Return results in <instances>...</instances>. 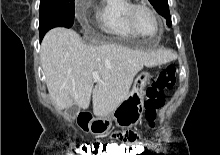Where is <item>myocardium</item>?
<instances>
[{
	"label": "myocardium",
	"mask_w": 220,
	"mask_h": 155,
	"mask_svg": "<svg viewBox=\"0 0 220 155\" xmlns=\"http://www.w3.org/2000/svg\"><path fill=\"white\" fill-rule=\"evenodd\" d=\"M139 9H145L151 13V15L154 17L156 23H157V32L154 34V36L160 34L162 30V22L160 16L157 14V12L147 3L139 2V3H133L127 11V21L130 26V28L134 31L135 34L142 37H147L143 33L139 31V29L136 26L135 23V13Z\"/></svg>",
	"instance_id": "1"
}]
</instances>
